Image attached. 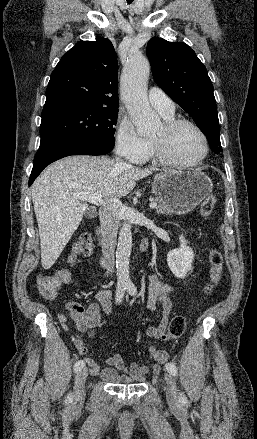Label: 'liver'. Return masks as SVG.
<instances>
[{"label":"liver","mask_w":257,"mask_h":439,"mask_svg":"<svg viewBox=\"0 0 257 439\" xmlns=\"http://www.w3.org/2000/svg\"><path fill=\"white\" fill-rule=\"evenodd\" d=\"M151 174L152 169L123 166L103 156H70L47 167L32 187L42 267L54 265L88 209L74 194L98 193L103 206L109 205L112 198L126 196L136 181Z\"/></svg>","instance_id":"liver-1"}]
</instances>
